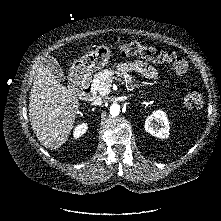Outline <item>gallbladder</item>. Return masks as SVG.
<instances>
[{
  "label": "gallbladder",
  "mask_w": 221,
  "mask_h": 221,
  "mask_svg": "<svg viewBox=\"0 0 221 221\" xmlns=\"http://www.w3.org/2000/svg\"><path fill=\"white\" fill-rule=\"evenodd\" d=\"M45 66L56 77L57 80L61 82L65 81L66 77L62 71V68L54 57H47L45 59Z\"/></svg>",
  "instance_id": "gallbladder-1"
}]
</instances>
